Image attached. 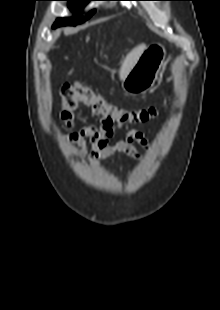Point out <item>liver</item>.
Masks as SVG:
<instances>
[{"label":"liver","instance_id":"liver-1","mask_svg":"<svg viewBox=\"0 0 220 310\" xmlns=\"http://www.w3.org/2000/svg\"><path fill=\"white\" fill-rule=\"evenodd\" d=\"M145 49H146V45L140 44L134 49H132V51H130L126 55V57L122 61L121 68L119 71V77L121 80H124L126 78V76L135 66V64L137 63V61L139 60L140 56L142 55Z\"/></svg>","mask_w":220,"mask_h":310}]
</instances>
